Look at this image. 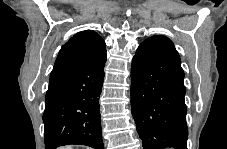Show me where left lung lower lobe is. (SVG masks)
<instances>
[{
	"instance_id": "1",
	"label": "left lung lower lobe",
	"mask_w": 227,
	"mask_h": 149,
	"mask_svg": "<svg viewBox=\"0 0 227 149\" xmlns=\"http://www.w3.org/2000/svg\"><path fill=\"white\" fill-rule=\"evenodd\" d=\"M183 79L170 39L155 35L139 45L131 65V106L143 149H187Z\"/></svg>"
}]
</instances>
